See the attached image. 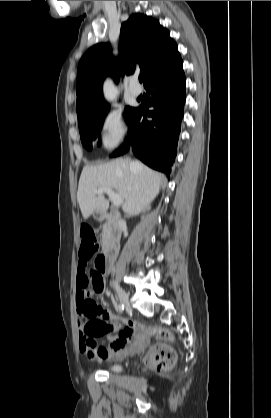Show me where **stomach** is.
Here are the masks:
<instances>
[{"mask_svg": "<svg viewBox=\"0 0 271 418\" xmlns=\"http://www.w3.org/2000/svg\"><path fill=\"white\" fill-rule=\"evenodd\" d=\"M95 218L99 220L100 219V216L96 215Z\"/></svg>", "mask_w": 271, "mask_h": 418, "instance_id": "1", "label": "stomach"}]
</instances>
